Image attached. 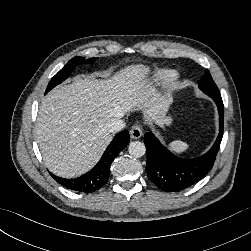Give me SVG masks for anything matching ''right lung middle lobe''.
Listing matches in <instances>:
<instances>
[{
	"label": "right lung middle lobe",
	"mask_w": 251,
	"mask_h": 251,
	"mask_svg": "<svg viewBox=\"0 0 251 251\" xmlns=\"http://www.w3.org/2000/svg\"><path fill=\"white\" fill-rule=\"evenodd\" d=\"M95 59L90 58L85 60L84 57H74L72 58L49 82L46 92H49L53 87L64 81L72 72L73 69L79 64L82 63H90L93 62Z\"/></svg>",
	"instance_id": "dd1d6c3e"
}]
</instances>
